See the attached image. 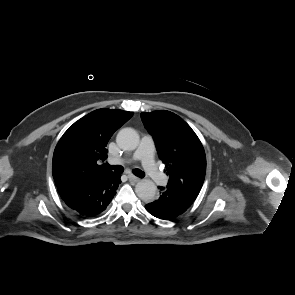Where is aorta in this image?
<instances>
[{
  "label": "aorta",
  "instance_id": "aorta-1",
  "mask_svg": "<svg viewBox=\"0 0 295 295\" xmlns=\"http://www.w3.org/2000/svg\"><path fill=\"white\" fill-rule=\"evenodd\" d=\"M139 135L133 128L121 129L116 137L117 145L123 150H134L139 145ZM157 187L149 179L139 181L135 186L137 196L144 202H153L156 199Z\"/></svg>",
  "mask_w": 295,
  "mask_h": 295
}]
</instances>
